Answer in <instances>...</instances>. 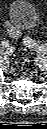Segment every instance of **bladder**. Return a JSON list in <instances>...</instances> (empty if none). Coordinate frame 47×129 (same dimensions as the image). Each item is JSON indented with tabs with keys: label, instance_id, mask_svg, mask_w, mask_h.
<instances>
[{
	"label": "bladder",
	"instance_id": "bladder-1",
	"mask_svg": "<svg viewBox=\"0 0 47 129\" xmlns=\"http://www.w3.org/2000/svg\"><path fill=\"white\" fill-rule=\"evenodd\" d=\"M7 14L10 25L18 32L33 30L39 21L36 8L28 0H13Z\"/></svg>",
	"mask_w": 47,
	"mask_h": 129
}]
</instances>
